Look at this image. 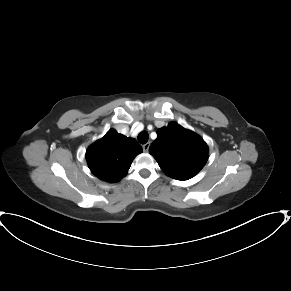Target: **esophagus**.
<instances>
[{"label":"esophagus","instance_id":"esophagus-1","mask_svg":"<svg viewBox=\"0 0 291 291\" xmlns=\"http://www.w3.org/2000/svg\"><path fill=\"white\" fill-rule=\"evenodd\" d=\"M149 147H150V143H149V142L146 143V144H144V145H143V151H144V152H148Z\"/></svg>","mask_w":291,"mask_h":291}]
</instances>
